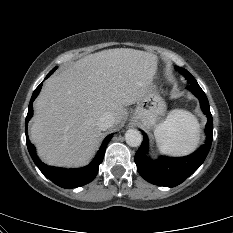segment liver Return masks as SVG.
<instances>
[{
    "label": "liver",
    "mask_w": 233,
    "mask_h": 233,
    "mask_svg": "<svg viewBox=\"0 0 233 233\" xmlns=\"http://www.w3.org/2000/svg\"><path fill=\"white\" fill-rule=\"evenodd\" d=\"M157 72L156 55L116 48L87 55L52 75L34 105L30 139L39 157L54 166L90 162L101 141L97 121L104 113L117 125L126 106L139 102Z\"/></svg>",
    "instance_id": "liver-1"
}]
</instances>
